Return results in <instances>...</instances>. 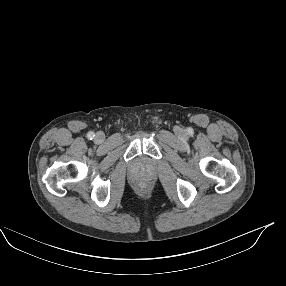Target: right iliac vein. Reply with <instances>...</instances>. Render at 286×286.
Segmentation results:
<instances>
[{"label":"right iliac vein","instance_id":"63e3f726","mask_svg":"<svg viewBox=\"0 0 286 286\" xmlns=\"http://www.w3.org/2000/svg\"><path fill=\"white\" fill-rule=\"evenodd\" d=\"M95 139L98 143H102L105 140V136L103 133H97Z\"/></svg>","mask_w":286,"mask_h":286}]
</instances>
